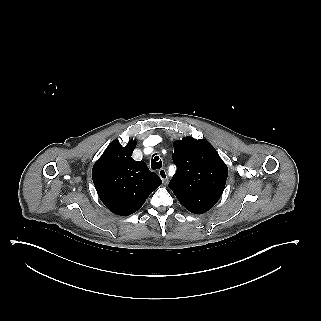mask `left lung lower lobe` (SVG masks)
Here are the masks:
<instances>
[{"label":"left lung lower lobe","mask_w":321,"mask_h":321,"mask_svg":"<svg viewBox=\"0 0 321 321\" xmlns=\"http://www.w3.org/2000/svg\"><path fill=\"white\" fill-rule=\"evenodd\" d=\"M222 193L207 194H180L177 195L179 202L190 212L202 214L211 209L219 200Z\"/></svg>","instance_id":"1"}]
</instances>
